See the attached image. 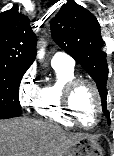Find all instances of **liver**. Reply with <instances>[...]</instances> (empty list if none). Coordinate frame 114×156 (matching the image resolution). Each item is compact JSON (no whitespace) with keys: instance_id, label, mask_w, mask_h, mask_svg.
Instances as JSON below:
<instances>
[{"instance_id":"obj_1","label":"liver","mask_w":114,"mask_h":156,"mask_svg":"<svg viewBox=\"0 0 114 156\" xmlns=\"http://www.w3.org/2000/svg\"><path fill=\"white\" fill-rule=\"evenodd\" d=\"M83 137L50 121L26 117L0 120V156H63Z\"/></svg>"}]
</instances>
